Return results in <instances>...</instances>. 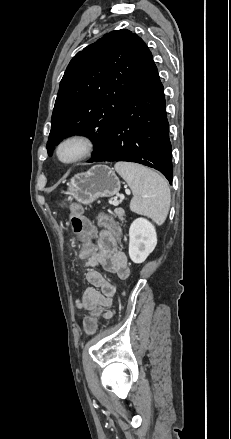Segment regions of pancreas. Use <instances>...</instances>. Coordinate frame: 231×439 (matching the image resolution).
<instances>
[{"instance_id": "obj_1", "label": "pancreas", "mask_w": 231, "mask_h": 439, "mask_svg": "<svg viewBox=\"0 0 231 439\" xmlns=\"http://www.w3.org/2000/svg\"><path fill=\"white\" fill-rule=\"evenodd\" d=\"M116 214L118 215L121 222H124V211L122 209H116Z\"/></svg>"}]
</instances>
